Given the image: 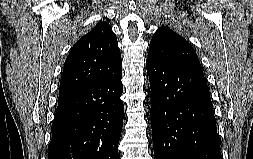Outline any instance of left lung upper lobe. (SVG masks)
<instances>
[{"label": "left lung upper lobe", "mask_w": 253, "mask_h": 159, "mask_svg": "<svg viewBox=\"0 0 253 159\" xmlns=\"http://www.w3.org/2000/svg\"><path fill=\"white\" fill-rule=\"evenodd\" d=\"M148 59L166 64L200 66L192 46L168 27H160L149 45Z\"/></svg>", "instance_id": "left-lung-upper-lobe-1"}]
</instances>
